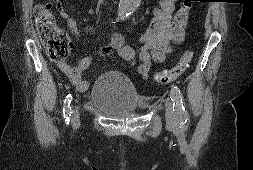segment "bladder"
<instances>
[{"label": "bladder", "instance_id": "bladder-1", "mask_svg": "<svg viewBox=\"0 0 253 170\" xmlns=\"http://www.w3.org/2000/svg\"><path fill=\"white\" fill-rule=\"evenodd\" d=\"M89 104L101 114L124 118L142 110V100L133 82L122 72H102L92 85Z\"/></svg>", "mask_w": 253, "mask_h": 170}]
</instances>
